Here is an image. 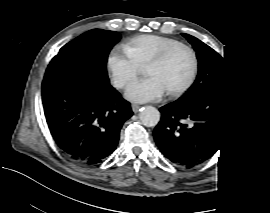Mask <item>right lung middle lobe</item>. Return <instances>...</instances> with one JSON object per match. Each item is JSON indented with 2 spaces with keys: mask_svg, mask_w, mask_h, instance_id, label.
<instances>
[{
  "mask_svg": "<svg viewBox=\"0 0 270 213\" xmlns=\"http://www.w3.org/2000/svg\"><path fill=\"white\" fill-rule=\"evenodd\" d=\"M115 31L93 29L64 45L51 60L45 76L83 75L109 83L106 63L110 50L119 41Z\"/></svg>",
  "mask_w": 270,
  "mask_h": 213,
  "instance_id": "dd1d6c3e",
  "label": "right lung middle lobe"
}]
</instances>
